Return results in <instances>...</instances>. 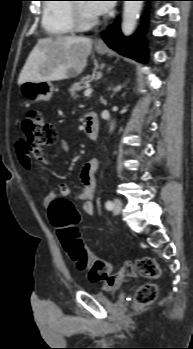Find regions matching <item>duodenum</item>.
Masks as SVG:
<instances>
[{
	"label": "duodenum",
	"instance_id": "obj_1",
	"mask_svg": "<svg viewBox=\"0 0 193 349\" xmlns=\"http://www.w3.org/2000/svg\"><path fill=\"white\" fill-rule=\"evenodd\" d=\"M85 133L90 140L95 141L97 139L98 118L96 114L94 113L87 114L86 121H85Z\"/></svg>",
	"mask_w": 193,
	"mask_h": 349
}]
</instances>
